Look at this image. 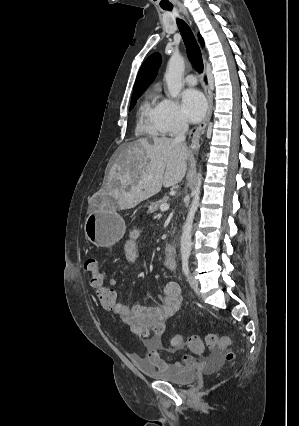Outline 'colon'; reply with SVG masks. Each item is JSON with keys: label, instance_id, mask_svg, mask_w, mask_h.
<instances>
[{"label": "colon", "instance_id": "obj_1", "mask_svg": "<svg viewBox=\"0 0 299 426\" xmlns=\"http://www.w3.org/2000/svg\"><path fill=\"white\" fill-rule=\"evenodd\" d=\"M85 269L90 272V285L95 290V296L100 305L112 310L119 302L117 291L107 283L105 275L101 272L99 263L94 258H88L85 262ZM205 342L210 348H220L225 350V359L230 362L234 359L235 354L230 349L231 339L229 337H218L215 334L206 336ZM173 347L180 348L187 346L194 353H201L204 344L199 336H191L185 341L182 334H175L171 339Z\"/></svg>", "mask_w": 299, "mask_h": 426}]
</instances>
